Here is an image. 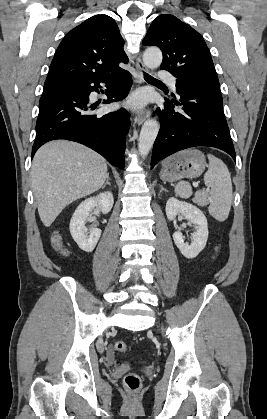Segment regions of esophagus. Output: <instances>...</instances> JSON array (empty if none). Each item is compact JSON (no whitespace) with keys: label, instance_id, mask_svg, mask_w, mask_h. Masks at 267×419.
<instances>
[{"label":"esophagus","instance_id":"esophagus-1","mask_svg":"<svg viewBox=\"0 0 267 419\" xmlns=\"http://www.w3.org/2000/svg\"><path fill=\"white\" fill-rule=\"evenodd\" d=\"M136 72H137V81L138 83L143 82V73L146 72V68L141 60L140 57H137L136 59ZM150 115V112L148 110L138 112L135 116V121L138 123V125L142 124Z\"/></svg>","mask_w":267,"mask_h":419}]
</instances>
